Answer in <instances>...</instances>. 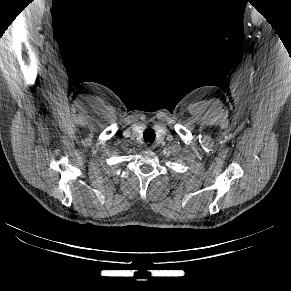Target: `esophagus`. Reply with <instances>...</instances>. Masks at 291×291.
I'll use <instances>...</instances> for the list:
<instances>
[{
    "label": "esophagus",
    "mask_w": 291,
    "mask_h": 291,
    "mask_svg": "<svg viewBox=\"0 0 291 291\" xmlns=\"http://www.w3.org/2000/svg\"><path fill=\"white\" fill-rule=\"evenodd\" d=\"M145 147H146V150H153L155 148V146L152 144H147Z\"/></svg>",
    "instance_id": "34e87169"
}]
</instances>
